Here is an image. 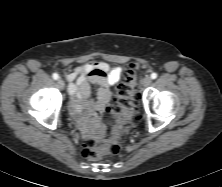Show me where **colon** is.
<instances>
[{
  "instance_id": "colon-1",
  "label": "colon",
  "mask_w": 222,
  "mask_h": 187,
  "mask_svg": "<svg viewBox=\"0 0 222 187\" xmlns=\"http://www.w3.org/2000/svg\"><path fill=\"white\" fill-rule=\"evenodd\" d=\"M135 87V70L132 65L127 66L123 82L119 85L109 107L114 116H125L135 111L137 97L133 95ZM121 145L111 136L106 135L98 142L93 137H87L82 149V156L87 159L97 160L106 155H116L120 152Z\"/></svg>"
}]
</instances>
